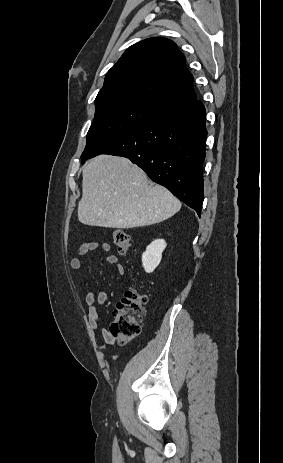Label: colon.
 <instances>
[{
	"instance_id": "5ec220e1",
	"label": "colon",
	"mask_w": 283,
	"mask_h": 463,
	"mask_svg": "<svg viewBox=\"0 0 283 463\" xmlns=\"http://www.w3.org/2000/svg\"><path fill=\"white\" fill-rule=\"evenodd\" d=\"M112 241L121 254H126L132 241L128 233L121 229L112 231ZM148 297L137 289L129 288L113 312L110 333L120 344H125L139 336L145 314L144 305Z\"/></svg>"
}]
</instances>
